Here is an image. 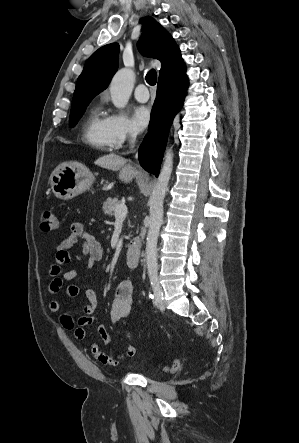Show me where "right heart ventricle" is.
<instances>
[{
	"mask_svg": "<svg viewBox=\"0 0 299 443\" xmlns=\"http://www.w3.org/2000/svg\"><path fill=\"white\" fill-rule=\"evenodd\" d=\"M83 139L91 147L107 151L112 148L106 126V117L100 114L99 108L94 107L85 122Z\"/></svg>",
	"mask_w": 299,
	"mask_h": 443,
	"instance_id": "1",
	"label": "right heart ventricle"
}]
</instances>
